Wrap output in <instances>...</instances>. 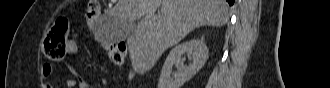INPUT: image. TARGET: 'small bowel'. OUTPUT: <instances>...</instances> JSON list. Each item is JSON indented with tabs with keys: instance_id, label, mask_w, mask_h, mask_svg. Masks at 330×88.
I'll use <instances>...</instances> for the list:
<instances>
[{
	"instance_id": "small-bowel-1",
	"label": "small bowel",
	"mask_w": 330,
	"mask_h": 88,
	"mask_svg": "<svg viewBox=\"0 0 330 88\" xmlns=\"http://www.w3.org/2000/svg\"><path fill=\"white\" fill-rule=\"evenodd\" d=\"M77 50H78V34L74 32L69 37V41H68L66 52H65L64 56L74 55L77 52ZM105 50L107 51L109 57L112 55L115 56L121 52V49L119 47H117L116 45H112V44H108L107 47L105 48ZM64 56L62 58H60L59 60H62L64 58ZM121 57H122V65H123L124 61H123L122 53H121ZM53 72H54L53 65L50 63H45L42 67V78L46 79ZM66 86L68 88H74L76 86V81L74 79H69L66 83ZM88 87H89V85L86 82L80 81L79 88H88Z\"/></svg>"
}]
</instances>
